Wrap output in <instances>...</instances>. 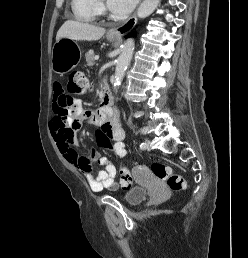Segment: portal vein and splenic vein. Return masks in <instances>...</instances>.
Wrapping results in <instances>:
<instances>
[{"mask_svg":"<svg viewBox=\"0 0 248 258\" xmlns=\"http://www.w3.org/2000/svg\"><path fill=\"white\" fill-rule=\"evenodd\" d=\"M95 60H99V56L98 55L95 56Z\"/></svg>","mask_w":248,"mask_h":258,"instance_id":"1","label":"portal vein and splenic vein"}]
</instances>
